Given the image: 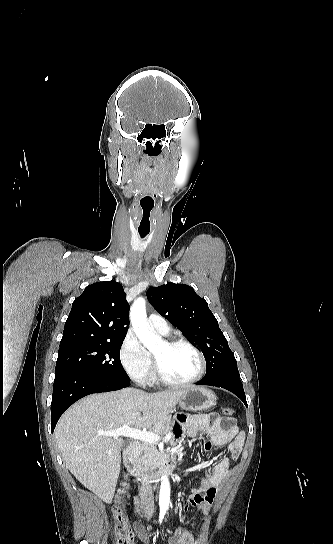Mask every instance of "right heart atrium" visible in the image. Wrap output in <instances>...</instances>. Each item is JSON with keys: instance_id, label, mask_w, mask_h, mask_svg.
I'll use <instances>...</instances> for the list:
<instances>
[{"instance_id": "obj_1", "label": "right heart atrium", "mask_w": 333, "mask_h": 544, "mask_svg": "<svg viewBox=\"0 0 333 544\" xmlns=\"http://www.w3.org/2000/svg\"><path fill=\"white\" fill-rule=\"evenodd\" d=\"M120 361L128 376L134 381L140 384L149 381L152 372L151 357L133 334H128L122 343Z\"/></svg>"}]
</instances>
